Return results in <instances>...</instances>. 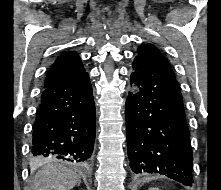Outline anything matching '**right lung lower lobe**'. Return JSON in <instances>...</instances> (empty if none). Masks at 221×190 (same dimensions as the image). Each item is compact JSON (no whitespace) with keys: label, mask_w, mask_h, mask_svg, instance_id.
<instances>
[{"label":"right lung lower lobe","mask_w":221,"mask_h":190,"mask_svg":"<svg viewBox=\"0 0 221 190\" xmlns=\"http://www.w3.org/2000/svg\"><path fill=\"white\" fill-rule=\"evenodd\" d=\"M95 104L88 73L43 89L33 130L31 154L86 166L94 148Z\"/></svg>","instance_id":"98d812e1"}]
</instances>
